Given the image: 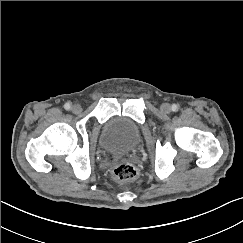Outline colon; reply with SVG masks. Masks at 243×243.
<instances>
[{
  "label": "colon",
  "mask_w": 243,
  "mask_h": 243,
  "mask_svg": "<svg viewBox=\"0 0 243 243\" xmlns=\"http://www.w3.org/2000/svg\"><path fill=\"white\" fill-rule=\"evenodd\" d=\"M112 176L118 181L131 182L138 177V171L129 163H121L112 168Z\"/></svg>",
  "instance_id": "colon-1"
}]
</instances>
